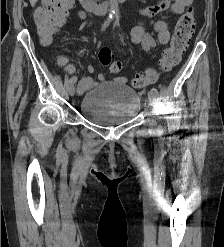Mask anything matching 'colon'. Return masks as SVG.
Masks as SVG:
<instances>
[{"label":"colon","instance_id":"obj_1","mask_svg":"<svg viewBox=\"0 0 224 247\" xmlns=\"http://www.w3.org/2000/svg\"><path fill=\"white\" fill-rule=\"evenodd\" d=\"M73 4L74 0H43V6L38 7L34 13L38 33L44 39L50 40L63 25ZM193 12V8L190 7L177 21L170 45L163 51L160 59V68L162 70H169L175 66L182 54L187 50L196 26ZM98 59L101 65L109 67L111 74L117 76L121 73L122 64L113 59L109 48H101L98 53ZM69 71L72 72L73 67H69ZM155 76L156 73L152 70L146 74L137 75L133 79V85L138 88L143 87ZM92 84L89 80H83L81 88L85 89Z\"/></svg>","mask_w":224,"mask_h":247}]
</instances>
